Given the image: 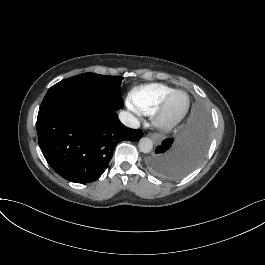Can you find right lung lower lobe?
Returning <instances> with one entry per match:
<instances>
[{
    "label": "right lung lower lobe",
    "mask_w": 265,
    "mask_h": 265,
    "mask_svg": "<svg viewBox=\"0 0 265 265\" xmlns=\"http://www.w3.org/2000/svg\"><path fill=\"white\" fill-rule=\"evenodd\" d=\"M37 133L48 164L75 183L98 179L120 141L136 142L143 136L141 130L125 127L115 111L99 109L72 97H58L41 104Z\"/></svg>",
    "instance_id": "obj_1"
}]
</instances>
